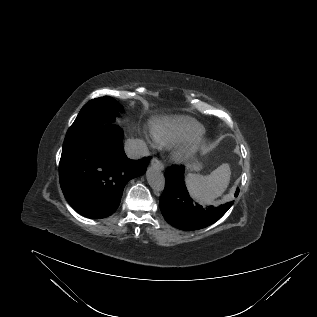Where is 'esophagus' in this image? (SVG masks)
Instances as JSON below:
<instances>
[{
  "mask_svg": "<svg viewBox=\"0 0 317 317\" xmlns=\"http://www.w3.org/2000/svg\"><path fill=\"white\" fill-rule=\"evenodd\" d=\"M151 165L158 168L159 170H164V164L161 160H159L158 158H153L151 161Z\"/></svg>",
  "mask_w": 317,
  "mask_h": 317,
  "instance_id": "esophagus-1",
  "label": "esophagus"
}]
</instances>
